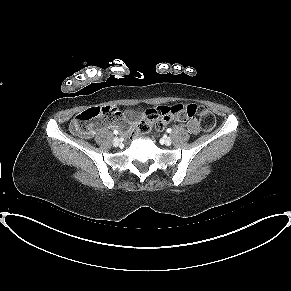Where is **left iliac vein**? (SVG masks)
Returning <instances> with one entry per match:
<instances>
[{
	"label": "left iliac vein",
	"mask_w": 291,
	"mask_h": 291,
	"mask_svg": "<svg viewBox=\"0 0 291 291\" xmlns=\"http://www.w3.org/2000/svg\"><path fill=\"white\" fill-rule=\"evenodd\" d=\"M171 143H172V139L170 137H166L164 139V144L165 145L169 146V145H171Z\"/></svg>",
	"instance_id": "obj_1"
}]
</instances>
